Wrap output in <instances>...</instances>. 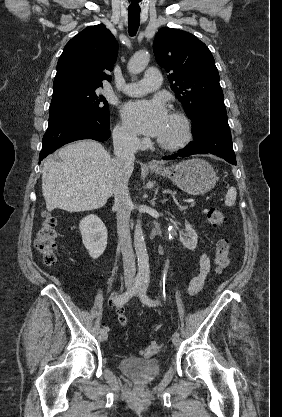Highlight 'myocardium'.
Segmentation results:
<instances>
[{
	"label": "myocardium",
	"instance_id": "1",
	"mask_svg": "<svg viewBox=\"0 0 282 417\" xmlns=\"http://www.w3.org/2000/svg\"><path fill=\"white\" fill-rule=\"evenodd\" d=\"M169 117L179 123L180 134L176 139L170 141L158 137L157 143L163 148L174 149L185 145L191 139V125L189 119L182 113L171 112Z\"/></svg>",
	"mask_w": 282,
	"mask_h": 417
}]
</instances>
